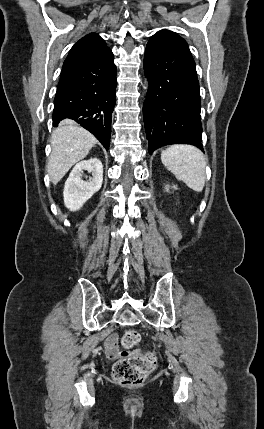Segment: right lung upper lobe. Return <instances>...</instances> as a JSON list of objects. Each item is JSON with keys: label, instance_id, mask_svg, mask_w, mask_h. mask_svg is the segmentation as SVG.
Instances as JSON below:
<instances>
[{"label": "right lung upper lobe", "instance_id": "obj_1", "mask_svg": "<svg viewBox=\"0 0 264 429\" xmlns=\"http://www.w3.org/2000/svg\"><path fill=\"white\" fill-rule=\"evenodd\" d=\"M109 50L103 39L91 33L81 38L70 50L64 61L62 73L68 72Z\"/></svg>", "mask_w": 264, "mask_h": 429}]
</instances>
